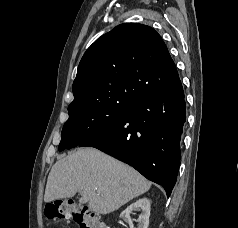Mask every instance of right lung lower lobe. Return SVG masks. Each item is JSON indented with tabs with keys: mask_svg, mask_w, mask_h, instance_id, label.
I'll list each match as a JSON object with an SVG mask.
<instances>
[{
	"mask_svg": "<svg viewBox=\"0 0 238 228\" xmlns=\"http://www.w3.org/2000/svg\"><path fill=\"white\" fill-rule=\"evenodd\" d=\"M186 121L181 81L132 100L119 120L79 147L97 148L164 187L170 196L180 166Z\"/></svg>",
	"mask_w": 238,
	"mask_h": 228,
	"instance_id": "1",
	"label": "right lung lower lobe"
}]
</instances>
